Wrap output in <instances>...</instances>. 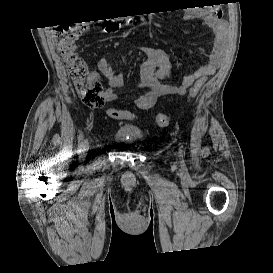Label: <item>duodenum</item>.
Returning a JSON list of instances; mask_svg holds the SVG:
<instances>
[{
  "label": "duodenum",
  "instance_id": "410a0bca",
  "mask_svg": "<svg viewBox=\"0 0 273 273\" xmlns=\"http://www.w3.org/2000/svg\"><path fill=\"white\" fill-rule=\"evenodd\" d=\"M121 28H122V24L114 20L107 22L105 25V29L109 32H115L120 30Z\"/></svg>",
  "mask_w": 273,
  "mask_h": 273
}]
</instances>
